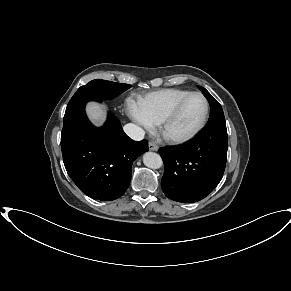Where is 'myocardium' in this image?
Instances as JSON below:
<instances>
[{
    "label": "myocardium",
    "mask_w": 291,
    "mask_h": 291,
    "mask_svg": "<svg viewBox=\"0 0 291 291\" xmlns=\"http://www.w3.org/2000/svg\"><path fill=\"white\" fill-rule=\"evenodd\" d=\"M194 96H198L202 98L204 101V113L202 115V118L198 125L191 130L190 132L183 134V135H171L169 134L168 130L171 124L176 120V118L179 116L180 112L182 111L185 104L188 102V100ZM209 116V102L207 98L199 93V92H191L188 95H186L183 99H181L175 107L165 116V118L160 122V134L162 137L169 143L172 144H184L192 139H194L205 127L207 120Z\"/></svg>",
    "instance_id": "1"
}]
</instances>
